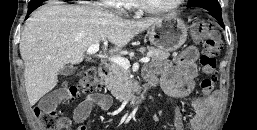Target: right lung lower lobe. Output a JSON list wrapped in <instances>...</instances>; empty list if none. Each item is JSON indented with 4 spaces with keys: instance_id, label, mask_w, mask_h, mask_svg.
<instances>
[{
    "instance_id": "98d812e1",
    "label": "right lung lower lobe",
    "mask_w": 257,
    "mask_h": 130,
    "mask_svg": "<svg viewBox=\"0 0 257 130\" xmlns=\"http://www.w3.org/2000/svg\"><path fill=\"white\" fill-rule=\"evenodd\" d=\"M42 2H43V1H42ZM42 2H41V3H42ZM31 11H33V10H31V9H28V14H29Z\"/></svg>"
}]
</instances>
